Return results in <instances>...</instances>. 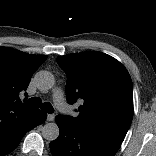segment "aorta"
Wrapping results in <instances>:
<instances>
[{
  "mask_svg": "<svg viewBox=\"0 0 156 156\" xmlns=\"http://www.w3.org/2000/svg\"><path fill=\"white\" fill-rule=\"evenodd\" d=\"M35 82L41 91H47L54 86L55 80L52 73L48 71H40L35 75ZM60 133L59 127L56 123H46L42 128V136L48 141H54L58 138Z\"/></svg>",
  "mask_w": 156,
  "mask_h": 156,
  "instance_id": "1",
  "label": "aorta"
}]
</instances>
